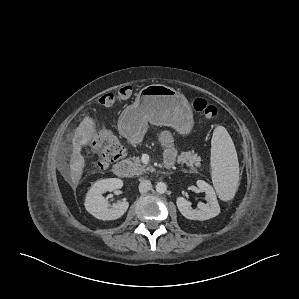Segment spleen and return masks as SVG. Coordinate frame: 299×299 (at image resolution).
I'll return each mask as SVG.
<instances>
[{"instance_id":"spleen-1","label":"spleen","mask_w":299,"mask_h":299,"mask_svg":"<svg viewBox=\"0 0 299 299\" xmlns=\"http://www.w3.org/2000/svg\"><path fill=\"white\" fill-rule=\"evenodd\" d=\"M211 167L212 182L220 199H232L239 181V163L232 138L223 126L216 127L213 132Z\"/></svg>"}]
</instances>
